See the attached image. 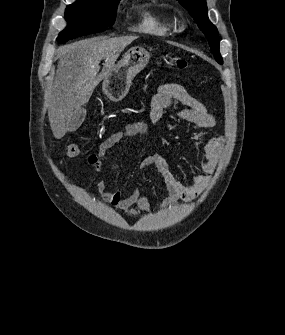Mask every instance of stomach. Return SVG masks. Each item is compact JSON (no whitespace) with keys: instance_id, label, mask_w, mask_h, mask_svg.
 I'll return each mask as SVG.
<instances>
[{"instance_id":"stomach-1","label":"stomach","mask_w":285,"mask_h":335,"mask_svg":"<svg viewBox=\"0 0 285 335\" xmlns=\"http://www.w3.org/2000/svg\"><path fill=\"white\" fill-rule=\"evenodd\" d=\"M149 58L150 54L144 48H130L103 80L102 88L107 98L112 102L123 100L130 90L134 76L147 66Z\"/></svg>"}]
</instances>
